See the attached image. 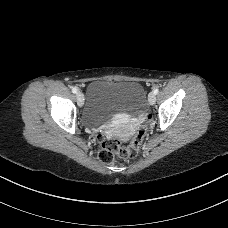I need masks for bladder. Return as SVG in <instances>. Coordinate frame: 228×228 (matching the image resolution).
Wrapping results in <instances>:
<instances>
[{"mask_svg": "<svg viewBox=\"0 0 228 228\" xmlns=\"http://www.w3.org/2000/svg\"><path fill=\"white\" fill-rule=\"evenodd\" d=\"M85 123L95 127L117 114L139 115L144 112L146 92L136 81L96 80L87 88Z\"/></svg>", "mask_w": 228, "mask_h": 228, "instance_id": "1", "label": "bladder"}]
</instances>
